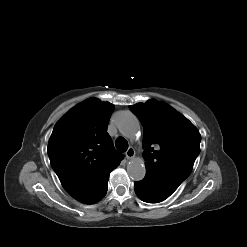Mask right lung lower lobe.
Instances as JSON below:
<instances>
[{
	"label": "right lung lower lobe",
	"mask_w": 247,
	"mask_h": 247,
	"mask_svg": "<svg viewBox=\"0 0 247 247\" xmlns=\"http://www.w3.org/2000/svg\"><path fill=\"white\" fill-rule=\"evenodd\" d=\"M108 178H106L91 194H89L85 199H83L80 202L86 204H93L101 200L105 196L108 189Z\"/></svg>",
	"instance_id": "obj_1"
}]
</instances>
